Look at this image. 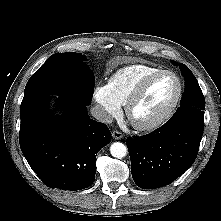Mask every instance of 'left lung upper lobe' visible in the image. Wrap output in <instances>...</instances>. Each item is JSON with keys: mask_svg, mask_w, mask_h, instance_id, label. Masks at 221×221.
Segmentation results:
<instances>
[{"mask_svg": "<svg viewBox=\"0 0 221 221\" xmlns=\"http://www.w3.org/2000/svg\"><path fill=\"white\" fill-rule=\"evenodd\" d=\"M181 70L183 71L186 79V89L181 101V107H194L201 110L205 109V99L201 88L197 82V79L193 73L184 64H181Z\"/></svg>", "mask_w": 221, "mask_h": 221, "instance_id": "left-lung-upper-lobe-1", "label": "left lung upper lobe"}]
</instances>
